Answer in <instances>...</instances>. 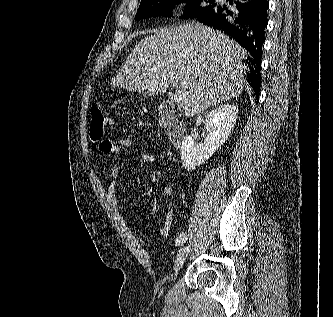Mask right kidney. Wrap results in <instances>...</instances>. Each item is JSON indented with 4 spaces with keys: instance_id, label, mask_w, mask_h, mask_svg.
I'll use <instances>...</instances> for the list:
<instances>
[{
    "instance_id": "right-kidney-1",
    "label": "right kidney",
    "mask_w": 333,
    "mask_h": 317,
    "mask_svg": "<svg viewBox=\"0 0 333 317\" xmlns=\"http://www.w3.org/2000/svg\"><path fill=\"white\" fill-rule=\"evenodd\" d=\"M238 117V107L224 104L208 113L205 125L208 135L203 144H196L188 136L181 145V161L187 171H193L205 163L226 142Z\"/></svg>"
}]
</instances>
